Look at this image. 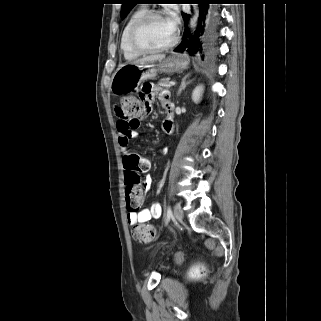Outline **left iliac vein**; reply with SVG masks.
I'll list each match as a JSON object with an SVG mask.
<instances>
[{"instance_id":"left-iliac-vein-1","label":"left iliac vein","mask_w":321,"mask_h":321,"mask_svg":"<svg viewBox=\"0 0 321 321\" xmlns=\"http://www.w3.org/2000/svg\"><path fill=\"white\" fill-rule=\"evenodd\" d=\"M174 216L178 221L183 219V210L179 204L174 205Z\"/></svg>"}]
</instances>
